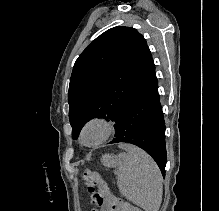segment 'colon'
I'll list each match as a JSON object with an SVG mask.
<instances>
[{
  "instance_id": "obj_1",
  "label": "colon",
  "mask_w": 219,
  "mask_h": 211,
  "mask_svg": "<svg viewBox=\"0 0 219 211\" xmlns=\"http://www.w3.org/2000/svg\"><path fill=\"white\" fill-rule=\"evenodd\" d=\"M84 181L87 187V192L90 195L95 194V189H99V195L97 198L101 201H105L109 204L112 211H142L141 209L131 205L130 203L124 201L123 199L114 196L109 189L107 183L103 180L102 176L97 170L87 169L84 172ZM92 205H97V199H92ZM91 211H96L93 208Z\"/></svg>"
}]
</instances>
